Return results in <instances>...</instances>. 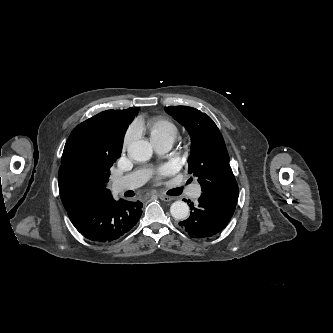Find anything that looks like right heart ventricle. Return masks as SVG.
I'll list each match as a JSON object with an SVG mask.
<instances>
[{
	"label": "right heart ventricle",
	"instance_id": "e07e8e85",
	"mask_svg": "<svg viewBox=\"0 0 333 333\" xmlns=\"http://www.w3.org/2000/svg\"><path fill=\"white\" fill-rule=\"evenodd\" d=\"M149 131L152 141L159 139H171L174 141L178 133L176 125L166 118L153 120L149 126Z\"/></svg>",
	"mask_w": 333,
	"mask_h": 333
}]
</instances>
